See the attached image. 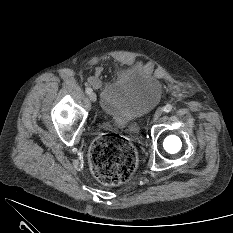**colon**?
Instances as JSON below:
<instances>
[{
  "label": "colon",
  "mask_w": 233,
  "mask_h": 233,
  "mask_svg": "<svg viewBox=\"0 0 233 233\" xmlns=\"http://www.w3.org/2000/svg\"><path fill=\"white\" fill-rule=\"evenodd\" d=\"M89 160L96 178L115 186L126 182L137 167V156L130 141L118 134H102L91 144Z\"/></svg>",
  "instance_id": "5ec220e1"
}]
</instances>
